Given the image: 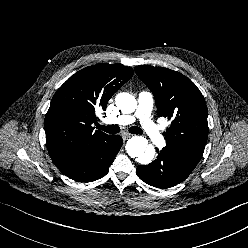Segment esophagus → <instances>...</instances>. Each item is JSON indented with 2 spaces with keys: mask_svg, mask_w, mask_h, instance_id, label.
Here are the masks:
<instances>
[{
  "mask_svg": "<svg viewBox=\"0 0 248 248\" xmlns=\"http://www.w3.org/2000/svg\"><path fill=\"white\" fill-rule=\"evenodd\" d=\"M131 137V134H129V133H122V138L124 139V140H127L128 138H130Z\"/></svg>",
  "mask_w": 248,
  "mask_h": 248,
  "instance_id": "34e87169",
  "label": "esophagus"
}]
</instances>
